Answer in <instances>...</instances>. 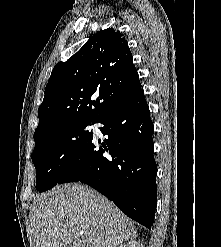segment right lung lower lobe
Here are the masks:
<instances>
[{
    "instance_id": "obj_1",
    "label": "right lung lower lobe",
    "mask_w": 221,
    "mask_h": 247,
    "mask_svg": "<svg viewBox=\"0 0 221 247\" xmlns=\"http://www.w3.org/2000/svg\"><path fill=\"white\" fill-rule=\"evenodd\" d=\"M96 123L108 138L91 139L58 181L82 182L113 201L123 213L151 228L157 204L153 123L144 91L107 111Z\"/></svg>"
}]
</instances>
